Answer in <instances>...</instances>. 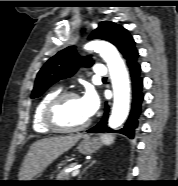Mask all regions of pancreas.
<instances>
[{
    "mask_svg": "<svg viewBox=\"0 0 178 186\" xmlns=\"http://www.w3.org/2000/svg\"><path fill=\"white\" fill-rule=\"evenodd\" d=\"M75 164H70L68 166H66L62 171H60L58 174H57V181H68L69 178H70V174L69 173H66L65 170L68 169V168H71L73 167Z\"/></svg>",
    "mask_w": 178,
    "mask_h": 186,
    "instance_id": "obj_1",
    "label": "pancreas"
}]
</instances>
